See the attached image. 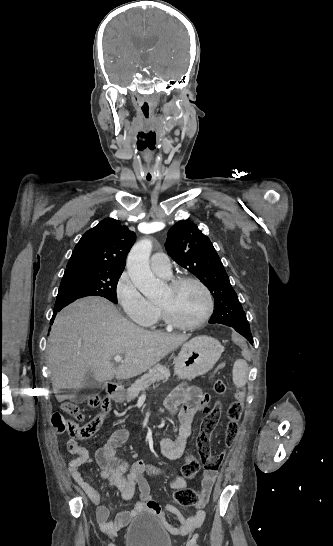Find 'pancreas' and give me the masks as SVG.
<instances>
[{
    "mask_svg": "<svg viewBox=\"0 0 333 546\" xmlns=\"http://www.w3.org/2000/svg\"><path fill=\"white\" fill-rule=\"evenodd\" d=\"M170 371L166 366L157 364L148 373L137 379L127 390V402L134 400L140 392L149 388L151 384L161 380H167Z\"/></svg>",
    "mask_w": 333,
    "mask_h": 546,
    "instance_id": "pancreas-1",
    "label": "pancreas"
}]
</instances>
